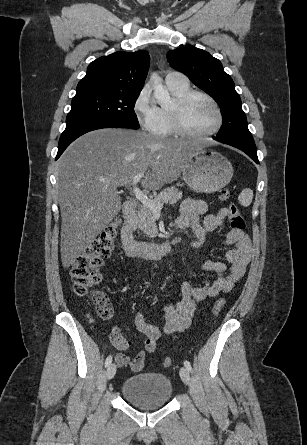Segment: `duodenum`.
Segmentation results:
<instances>
[{
	"label": "duodenum",
	"mask_w": 307,
	"mask_h": 445,
	"mask_svg": "<svg viewBox=\"0 0 307 445\" xmlns=\"http://www.w3.org/2000/svg\"><path fill=\"white\" fill-rule=\"evenodd\" d=\"M135 210L136 205L132 201H127L123 206V225L121 227L120 236L125 253L130 256L140 254L150 258H161L167 255L173 247V242L171 240H166L162 243H152L137 241L134 238L132 225Z\"/></svg>",
	"instance_id": "410a0bca"
}]
</instances>
